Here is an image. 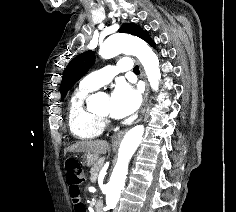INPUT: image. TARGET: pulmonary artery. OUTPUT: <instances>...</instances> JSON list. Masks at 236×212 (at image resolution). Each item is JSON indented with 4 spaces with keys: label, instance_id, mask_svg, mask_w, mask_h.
Here are the masks:
<instances>
[{
    "label": "pulmonary artery",
    "instance_id": "1",
    "mask_svg": "<svg viewBox=\"0 0 236 212\" xmlns=\"http://www.w3.org/2000/svg\"><path fill=\"white\" fill-rule=\"evenodd\" d=\"M133 63L130 58H122L116 65H109L94 71L83 78L81 84L84 87L98 89L111 82L112 78L118 73L130 71Z\"/></svg>",
    "mask_w": 236,
    "mask_h": 212
}]
</instances>
